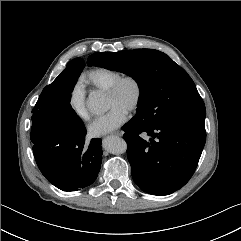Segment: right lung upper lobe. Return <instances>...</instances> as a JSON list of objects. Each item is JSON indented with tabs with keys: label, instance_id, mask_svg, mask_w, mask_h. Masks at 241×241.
I'll return each mask as SVG.
<instances>
[{
	"label": "right lung upper lobe",
	"instance_id": "cb5924a9",
	"mask_svg": "<svg viewBox=\"0 0 241 241\" xmlns=\"http://www.w3.org/2000/svg\"><path fill=\"white\" fill-rule=\"evenodd\" d=\"M73 61H74V60L70 61V62L67 64V66H69L70 64H72Z\"/></svg>",
	"mask_w": 241,
	"mask_h": 241
}]
</instances>
